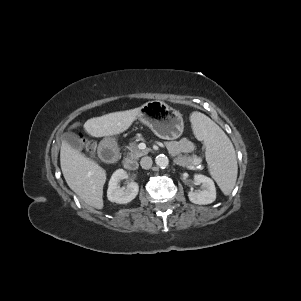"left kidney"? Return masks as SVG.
Here are the masks:
<instances>
[{"label":"left kidney","mask_w":301,"mask_h":301,"mask_svg":"<svg viewBox=\"0 0 301 301\" xmlns=\"http://www.w3.org/2000/svg\"><path fill=\"white\" fill-rule=\"evenodd\" d=\"M196 184H201L199 191H190L188 193L189 200L194 204L206 205L215 201L216 188L213 180L207 176L197 174L194 176Z\"/></svg>","instance_id":"obj_1"}]
</instances>
